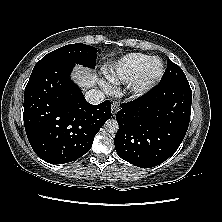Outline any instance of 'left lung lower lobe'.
<instances>
[{"label": "left lung lower lobe", "mask_w": 222, "mask_h": 222, "mask_svg": "<svg viewBox=\"0 0 222 222\" xmlns=\"http://www.w3.org/2000/svg\"><path fill=\"white\" fill-rule=\"evenodd\" d=\"M192 91L189 83L160 82L138 99L121 104L114 143L125 161L151 168L178 149L189 126Z\"/></svg>", "instance_id": "obj_1"}]
</instances>
